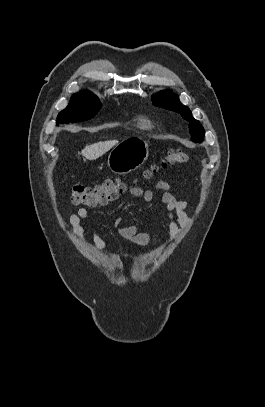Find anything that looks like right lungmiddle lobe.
<instances>
[{
    "label": "right lung middle lobe",
    "mask_w": 265,
    "mask_h": 407,
    "mask_svg": "<svg viewBox=\"0 0 265 407\" xmlns=\"http://www.w3.org/2000/svg\"><path fill=\"white\" fill-rule=\"evenodd\" d=\"M99 99L88 91L74 94L66 109L57 117V124L86 121L93 118L101 108Z\"/></svg>",
    "instance_id": "right-lung-middle-lobe-1"
}]
</instances>
